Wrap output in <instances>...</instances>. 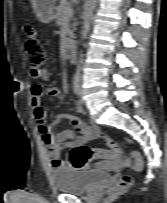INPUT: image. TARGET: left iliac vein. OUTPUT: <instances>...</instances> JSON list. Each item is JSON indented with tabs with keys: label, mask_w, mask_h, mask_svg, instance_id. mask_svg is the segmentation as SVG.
<instances>
[{
	"label": "left iliac vein",
	"mask_w": 167,
	"mask_h": 203,
	"mask_svg": "<svg viewBox=\"0 0 167 203\" xmlns=\"http://www.w3.org/2000/svg\"><path fill=\"white\" fill-rule=\"evenodd\" d=\"M79 96H80V103L81 104H85V100L83 99V92H82V89L80 88V90H79Z\"/></svg>",
	"instance_id": "1"
}]
</instances>
